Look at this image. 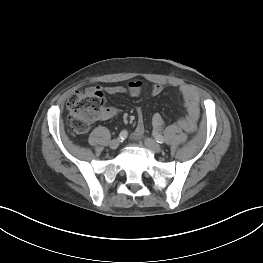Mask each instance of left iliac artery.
Returning <instances> with one entry per match:
<instances>
[{"instance_id":"44dca946","label":"left iliac artery","mask_w":263,"mask_h":263,"mask_svg":"<svg viewBox=\"0 0 263 263\" xmlns=\"http://www.w3.org/2000/svg\"><path fill=\"white\" fill-rule=\"evenodd\" d=\"M153 135H154L155 140H156L158 143L162 144V143L165 142V139H164V137H163L162 135H160V134H158V133H154Z\"/></svg>"}]
</instances>
